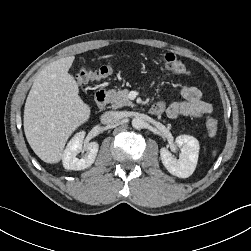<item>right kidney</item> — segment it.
<instances>
[{
	"instance_id": "right-kidney-1",
	"label": "right kidney",
	"mask_w": 251,
	"mask_h": 251,
	"mask_svg": "<svg viewBox=\"0 0 251 251\" xmlns=\"http://www.w3.org/2000/svg\"><path fill=\"white\" fill-rule=\"evenodd\" d=\"M84 136V131L79 132L67 144L62 156L63 166L65 169L77 171L84 170L94 163L99 149L97 142L88 143L86 145L88 154L81 159L77 158V155L82 151L83 148Z\"/></svg>"
}]
</instances>
